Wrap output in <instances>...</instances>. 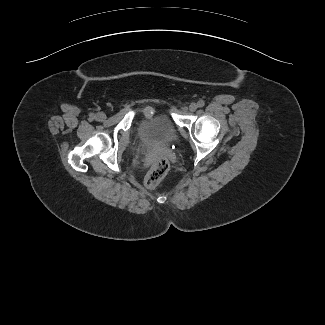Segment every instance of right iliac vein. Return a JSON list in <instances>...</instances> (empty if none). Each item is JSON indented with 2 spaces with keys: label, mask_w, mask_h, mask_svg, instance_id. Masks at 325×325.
<instances>
[{
  "label": "right iliac vein",
  "mask_w": 325,
  "mask_h": 325,
  "mask_svg": "<svg viewBox=\"0 0 325 325\" xmlns=\"http://www.w3.org/2000/svg\"><path fill=\"white\" fill-rule=\"evenodd\" d=\"M96 117L98 120L103 121L106 118V115L104 113H98Z\"/></svg>",
  "instance_id": "obj_1"
}]
</instances>
